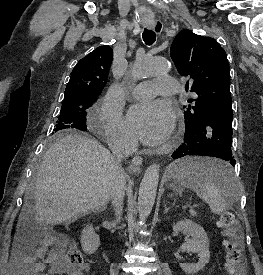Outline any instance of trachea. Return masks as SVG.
<instances>
[{"label": "trachea", "instance_id": "3493384b", "mask_svg": "<svg viewBox=\"0 0 263 275\" xmlns=\"http://www.w3.org/2000/svg\"><path fill=\"white\" fill-rule=\"evenodd\" d=\"M142 38L145 44L152 45L156 40V34L154 31L145 28L142 33Z\"/></svg>", "mask_w": 263, "mask_h": 275}]
</instances>
